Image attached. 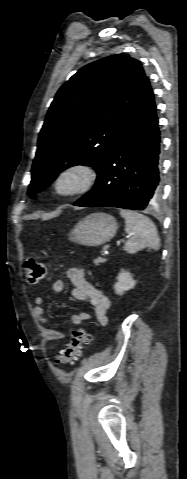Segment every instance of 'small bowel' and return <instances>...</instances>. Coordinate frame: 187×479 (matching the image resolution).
<instances>
[{
	"label": "small bowel",
	"mask_w": 187,
	"mask_h": 479,
	"mask_svg": "<svg viewBox=\"0 0 187 479\" xmlns=\"http://www.w3.org/2000/svg\"><path fill=\"white\" fill-rule=\"evenodd\" d=\"M67 276L73 283L74 288L71 290V297L74 300L89 302L93 308L97 322L100 325L107 323V314L111 307L110 299L99 289L95 288L87 279L84 270L78 267H72L68 269ZM65 285L62 280H56L52 285V290L56 294H60L64 291ZM34 316L42 324L47 323L45 317L44 304L46 297L39 295L35 298ZM71 321L75 325H82L84 322L90 319L88 312L82 311L71 315ZM44 336L49 341H57L62 338V334L49 327L43 328Z\"/></svg>",
	"instance_id": "obj_1"
}]
</instances>
